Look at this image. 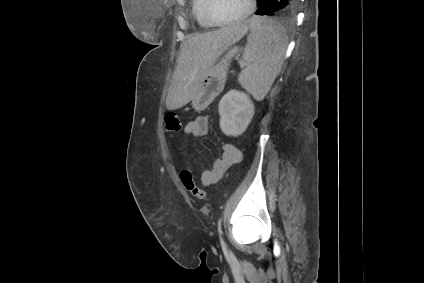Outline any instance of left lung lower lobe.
<instances>
[{
    "label": "left lung lower lobe",
    "mask_w": 424,
    "mask_h": 283,
    "mask_svg": "<svg viewBox=\"0 0 424 283\" xmlns=\"http://www.w3.org/2000/svg\"><path fill=\"white\" fill-rule=\"evenodd\" d=\"M298 0H257L256 15H273L279 10L295 9Z\"/></svg>",
    "instance_id": "1"
}]
</instances>
